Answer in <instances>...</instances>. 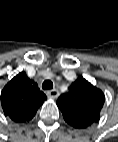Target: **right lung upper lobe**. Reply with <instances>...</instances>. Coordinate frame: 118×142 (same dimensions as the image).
<instances>
[{
    "label": "right lung upper lobe",
    "mask_w": 118,
    "mask_h": 142,
    "mask_svg": "<svg viewBox=\"0 0 118 142\" xmlns=\"http://www.w3.org/2000/svg\"><path fill=\"white\" fill-rule=\"evenodd\" d=\"M46 99L47 96L24 72L10 80L1 92L3 112L16 123L31 120Z\"/></svg>",
    "instance_id": "cb5924a9"
}]
</instances>
